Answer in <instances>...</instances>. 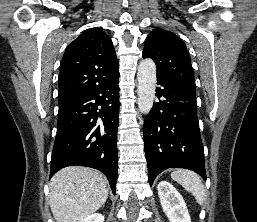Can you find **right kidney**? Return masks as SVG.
<instances>
[{"instance_id": "obj_1", "label": "right kidney", "mask_w": 257, "mask_h": 222, "mask_svg": "<svg viewBox=\"0 0 257 222\" xmlns=\"http://www.w3.org/2000/svg\"><path fill=\"white\" fill-rule=\"evenodd\" d=\"M104 216L100 213H93L83 219L81 222H104Z\"/></svg>"}]
</instances>
